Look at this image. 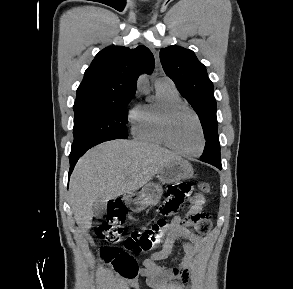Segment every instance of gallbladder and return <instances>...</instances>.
<instances>
[{
  "mask_svg": "<svg viewBox=\"0 0 293 289\" xmlns=\"http://www.w3.org/2000/svg\"><path fill=\"white\" fill-rule=\"evenodd\" d=\"M106 201L103 199H98L92 207L93 216L101 218L106 212Z\"/></svg>",
  "mask_w": 293,
  "mask_h": 289,
  "instance_id": "bac80fb5",
  "label": "gallbladder"
}]
</instances>
